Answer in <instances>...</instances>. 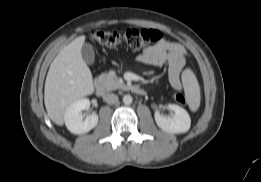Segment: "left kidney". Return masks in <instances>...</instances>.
I'll return each instance as SVG.
<instances>
[{"instance_id":"5707ae66","label":"left kidney","mask_w":261,"mask_h":182,"mask_svg":"<svg viewBox=\"0 0 261 182\" xmlns=\"http://www.w3.org/2000/svg\"><path fill=\"white\" fill-rule=\"evenodd\" d=\"M167 107L174 114L171 117H165L156 111L154 118L157 126L168 133L179 134L187 132L191 126L188 112L176 104H169Z\"/></svg>"}]
</instances>
